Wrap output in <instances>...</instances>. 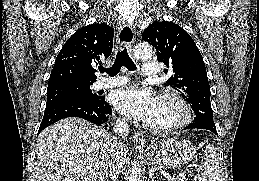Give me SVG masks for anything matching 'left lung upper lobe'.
Returning a JSON list of instances; mask_svg holds the SVG:
<instances>
[{"label":"left lung upper lobe","mask_w":259,"mask_h":181,"mask_svg":"<svg viewBox=\"0 0 259 181\" xmlns=\"http://www.w3.org/2000/svg\"><path fill=\"white\" fill-rule=\"evenodd\" d=\"M142 39L157 50V59L173 75L167 83L179 91L195 113V123L215 127L210 103V86L205 64L191 36L168 21H154L143 32Z\"/></svg>","instance_id":"left-lung-upper-lobe-1"}]
</instances>
